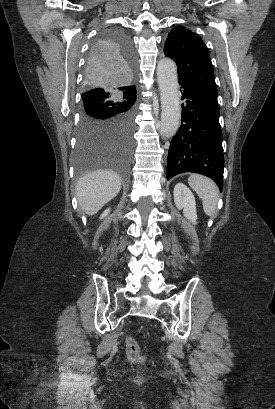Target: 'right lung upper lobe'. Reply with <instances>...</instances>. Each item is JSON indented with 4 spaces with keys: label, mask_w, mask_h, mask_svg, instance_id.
I'll list each match as a JSON object with an SVG mask.
<instances>
[{
    "label": "right lung upper lobe",
    "mask_w": 275,
    "mask_h": 409,
    "mask_svg": "<svg viewBox=\"0 0 275 409\" xmlns=\"http://www.w3.org/2000/svg\"><path fill=\"white\" fill-rule=\"evenodd\" d=\"M122 92H123V94L132 95V96L136 97V87H135V85L124 86Z\"/></svg>",
    "instance_id": "right-lung-upper-lobe-1"
}]
</instances>
